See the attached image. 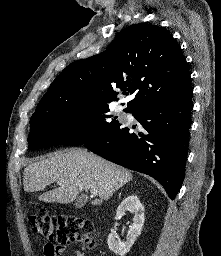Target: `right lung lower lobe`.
I'll return each instance as SVG.
<instances>
[{"mask_svg":"<svg viewBox=\"0 0 221 256\" xmlns=\"http://www.w3.org/2000/svg\"><path fill=\"white\" fill-rule=\"evenodd\" d=\"M191 99L192 93L151 102L133 113L143 132L134 133L119 122L83 145L111 162L153 177L173 200L184 179Z\"/></svg>","mask_w":221,"mask_h":256,"instance_id":"obj_1","label":"right lung lower lobe"}]
</instances>
